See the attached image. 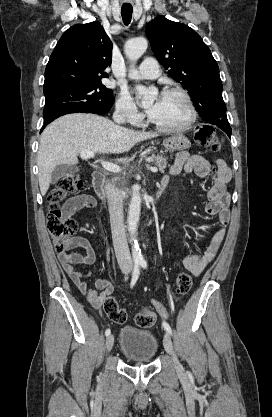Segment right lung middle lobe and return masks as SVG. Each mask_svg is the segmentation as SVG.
Masks as SVG:
<instances>
[{
	"label": "right lung middle lobe",
	"mask_w": 272,
	"mask_h": 417,
	"mask_svg": "<svg viewBox=\"0 0 272 417\" xmlns=\"http://www.w3.org/2000/svg\"><path fill=\"white\" fill-rule=\"evenodd\" d=\"M44 121L71 108H93L108 112L113 103V91L102 84L64 86L44 91Z\"/></svg>",
	"instance_id": "obj_1"
}]
</instances>
